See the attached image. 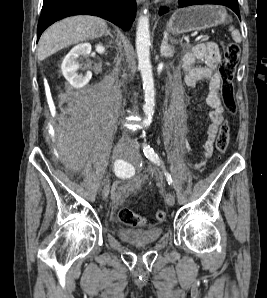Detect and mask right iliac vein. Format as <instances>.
<instances>
[{
  "label": "right iliac vein",
  "instance_id": "right-iliac-vein-1",
  "mask_svg": "<svg viewBox=\"0 0 267 298\" xmlns=\"http://www.w3.org/2000/svg\"><path fill=\"white\" fill-rule=\"evenodd\" d=\"M125 151V146L123 144H118L113 150V160L118 159L122 153ZM109 195V185L106 183L102 189V196L106 199Z\"/></svg>",
  "mask_w": 267,
  "mask_h": 298
}]
</instances>
